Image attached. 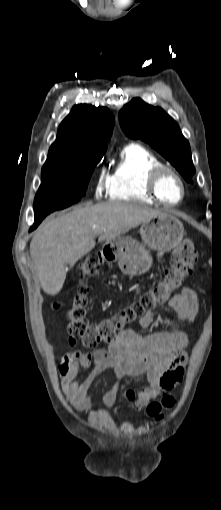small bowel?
<instances>
[{"mask_svg": "<svg viewBox=\"0 0 221 510\" xmlns=\"http://www.w3.org/2000/svg\"><path fill=\"white\" fill-rule=\"evenodd\" d=\"M169 306L174 311L170 323L196 321L199 302L193 289L183 287L180 293L170 299ZM155 321V315L148 312L140 318L139 324L148 329ZM189 341V334L184 331L141 336L127 329L107 347L97 348L90 353L80 350L67 352L58 367L62 390L77 410L84 411L90 405L87 394L95 380L103 372L112 370L115 381L101 400L104 407H111L125 376L145 375L148 387L137 395L131 390L126 393L133 409L141 411L151 400L171 395L175 385L182 380ZM68 344L76 345L75 338L70 337ZM82 369L88 370V373L80 379L78 375Z\"/></svg>", "mask_w": 221, "mask_h": 510, "instance_id": "c3829d8e", "label": "small bowel"}]
</instances>
